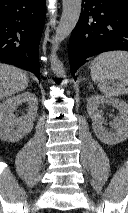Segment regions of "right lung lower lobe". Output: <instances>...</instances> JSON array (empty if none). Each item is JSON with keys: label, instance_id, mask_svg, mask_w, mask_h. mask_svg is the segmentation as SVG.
Listing matches in <instances>:
<instances>
[{"label": "right lung lower lobe", "instance_id": "1", "mask_svg": "<svg viewBox=\"0 0 128 213\" xmlns=\"http://www.w3.org/2000/svg\"><path fill=\"white\" fill-rule=\"evenodd\" d=\"M45 0H0V61L33 71L40 79L38 51Z\"/></svg>", "mask_w": 128, "mask_h": 213}]
</instances>
